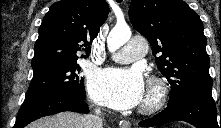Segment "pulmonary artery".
I'll return each mask as SVG.
<instances>
[{
    "mask_svg": "<svg viewBox=\"0 0 221 128\" xmlns=\"http://www.w3.org/2000/svg\"><path fill=\"white\" fill-rule=\"evenodd\" d=\"M147 50V42L136 38L127 42L119 51L112 55V59L119 63H130L143 55Z\"/></svg>",
    "mask_w": 221,
    "mask_h": 128,
    "instance_id": "1",
    "label": "pulmonary artery"
}]
</instances>
